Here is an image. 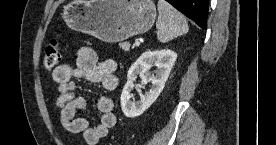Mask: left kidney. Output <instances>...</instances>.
<instances>
[{
    "mask_svg": "<svg viewBox=\"0 0 276 145\" xmlns=\"http://www.w3.org/2000/svg\"><path fill=\"white\" fill-rule=\"evenodd\" d=\"M177 59L174 51L164 49L144 52L130 67L127 83L121 94V108L124 115L134 118L143 114L158 98L168 79L170 71ZM155 65L157 70L152 74L149 70ZM140 76L143 84L152 83L149 92L141 96L140 101L133 102L131 98L134 81Z\"/></svg>",
    "mask_w": 276,
    "mask_h": 145,
    "instance_id": "obj_1",
    "label": "left kidney"
}]
</instances>
